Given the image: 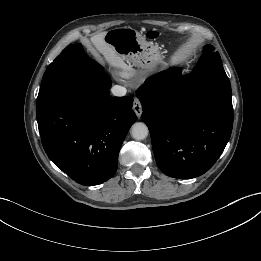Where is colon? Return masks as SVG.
I'll return each instance as SVG.
<instances>
[{
    "instance_id": "obj_1",
    "label": "colon",
    "mask_w": 261,
    "mask_h": 261,
    "mask_svg": "<svg viewBox=\"0 0 261 261\" xmlns=\"http://www.w3.org/2000/svg\"><path fill=\"white\" fill-rule=\"evenodd\" d=\"M147 36L149 38H156V37H158V33L154 32V31H150V32L147 33Z\"/></svg>"
}]
</instances>
